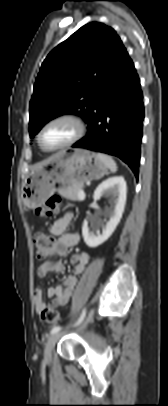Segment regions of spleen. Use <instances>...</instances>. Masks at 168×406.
I'll return each mask as SVG.
<instances>
[{
	"label": "spleen",
	"mask_w": 168,
	"mask_h": 406,
	"mask_svg": "<svg viewBox=\"0 0 168 406\" xmlns=\"http://www.w3.org/2000/svg\"><path fill=\"white\" fill-rule=\"evenodd\" d=\"M97 156L102 162L106 164V166L110 169L111 172L114 173L117 171V165L110 156L105 155L103 153H98Z\"/></svg>",
	"instance_id": "3e777b00"
}]
</instances>
